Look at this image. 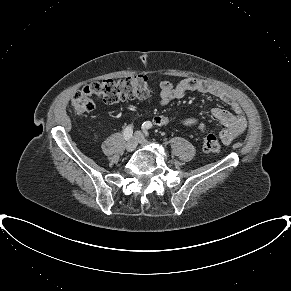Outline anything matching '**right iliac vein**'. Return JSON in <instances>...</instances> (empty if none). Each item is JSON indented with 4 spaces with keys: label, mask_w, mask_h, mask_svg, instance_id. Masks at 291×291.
<instances>
[{
    "label": "right iliac vein",
    "mask_w": 291,
    "mask_h": 291,
    "mask_svg": "<svg viewBox=\"0 0 291 291\" xmlns=\"http://www.w3.org/2000/svg\"><path fill=\"white\" fill-rule=\"evenodd\" d=\"M137 137H136V135L135 136H133L132 138H130L128 141H127V143H126V150L128 151V152H131V151H133V150H135V148L137 147Z\"/></svg>",
    "instance_id": "1"
}]
</instances>
